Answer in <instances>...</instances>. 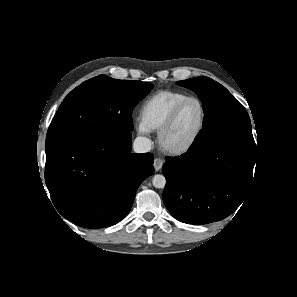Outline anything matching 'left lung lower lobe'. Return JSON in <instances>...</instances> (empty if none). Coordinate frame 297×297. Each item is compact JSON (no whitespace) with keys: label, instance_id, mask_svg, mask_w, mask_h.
Segmentation results:
<instances>
[{"label":"left lung lower lobe","instance_id":"1","mask_svg":"<svg viewBox=\"0 0 297 297\" xmlns=\"http://www.w3.org/2000/svg\"><path fill=\"white\" fill-rule=\"evenodd\" d=\"M256 148L215 142L166 158L165 206L178 221L207 224L232 214L250 189Z\"/></svg>","mask_w":297,"mask_h":297}]
</instances>
